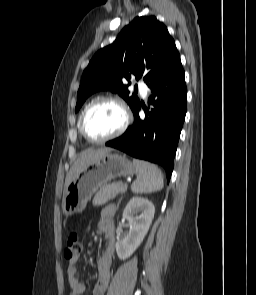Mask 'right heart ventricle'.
<instances>
[{"instance_id":"obj_1","label":"right heart ventricle","mask_w":256,"mask_h":295,"mask_svg":"<svg viewBox=\"0 0 256 295\" xmlns=\"http://www.w3.org/2000/svg\"><path fill=\"white\" fill-rule=\"evenodd\" d=\"M92 101H93V100H92ZM92 101H90V102L85 106L83 112H82L81 115H80V119H79V122H78V129H79L80 133H81V130H80V123H81L82 115H83L85 109L90 105V103H91ZM81 134H82V133H81Z\"/></svg>"}]
</instances>
